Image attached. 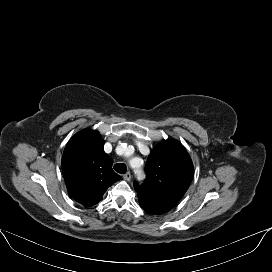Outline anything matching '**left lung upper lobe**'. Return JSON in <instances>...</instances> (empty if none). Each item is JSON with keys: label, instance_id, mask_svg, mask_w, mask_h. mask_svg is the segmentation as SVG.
I'll return each mask as SVG.
<instances>
[{"label": "left lung upper lobe", "instance_id": "1", "mask_svg": "<svg viewBox=\"0 0 272 272\" xmlns=\"http://www.w3.org/2000/svg\"><path fill=\"white\" fill-rule=\"evenodd\" d=\"M143 186L134 183L140 206L161 215L173 208L187 191L194 168L184 146L176 140L161 141L150 153Z\"/></svg>", "mask_w": 272, "mask_h": 272}]
</instances>
